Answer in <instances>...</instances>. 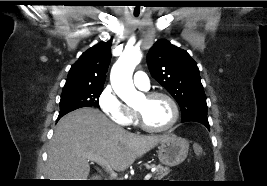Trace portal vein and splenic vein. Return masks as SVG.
<instances>
[{
	"label": "portal vein and splenic vein",
	"mask_w": 267,
	"mask_h": 186,
	"mask_svg": "<svg viewBox=\"0 0 267 186\" xmlns=\"http://www.w3.org/2000/svg\"><path fill=\"white\" fill-rule=\"evenodd\" d=\"M88 160H89V161H95V162H97L100 166H102L103 168H105L106 171L109 172L110 175H111L112 177H117V174H116V173L114 172V170L110 167V165H108V164L106 163V161H105L103 158L88 156ZM151 177H152L151 173H148V174L145 176V180H149Z\"/></svg>",
	"instance_id": "obj_1"
}]
</instances>
